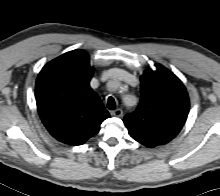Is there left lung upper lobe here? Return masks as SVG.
<instances>
[{"mask_svg":"<svg viewBox=\"0 0 220 196\" xmlns=\"http://www.w3.org/2000/svg\"><path fill=\"white\" fill-rule=\"evenodd\" d=\"M141 76V100L133 114L124 117L129 134L154 148L167 144L182 129L189 112V98L182 82L162 65Z\"/></svg>","mask_w":220,"mask_h":196,"instance_id":"left-lung-upper-lobe-1","label":"left lung upper lobe"}]
</instances>
